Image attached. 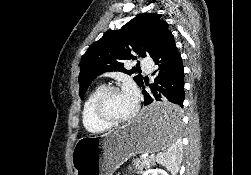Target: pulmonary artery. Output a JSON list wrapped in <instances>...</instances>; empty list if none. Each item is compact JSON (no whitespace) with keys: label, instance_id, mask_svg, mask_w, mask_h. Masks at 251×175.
Returning <instances> with one entry per match:
<instances>
[{"label":"pulmonary artery","instance_id":"pulmonary-artery-1","mask_svg":"<svg viewBox=\"0 0 251 175\" xmlns=\"http://www.w3.org/2000/svg\"><path fill=\"white\" fill-rule=\"evenodd\" d=\"M141 68L142 70H153L154 62H152V58H141ZM147 73L146 71L144 72Z\"/></svg>","mask_w":251,"mask_h":175}]
</instances>
